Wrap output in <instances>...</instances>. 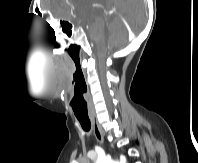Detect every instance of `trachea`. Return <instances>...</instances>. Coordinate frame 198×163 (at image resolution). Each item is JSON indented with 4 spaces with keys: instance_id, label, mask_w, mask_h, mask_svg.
<instances>
[{
    "instance_id": "trachea-1",
    "label": "trachea",
    "mask_w": 198,
    "mask_h": 163,
    "mask_svg": "<svg viewBox=\"0 0 198 163\" xmlns=\"http://www.w3.org/2000/svg\"><path fill=\"white\" fill-rule=\"evenodd\" d=\"M82 105H84V101L83 100L80 101V105L79 106H82ZM77 119L79 120V122H80V124H81V126H82L84 131H87V132L90 131L91 123H90V120H89L88 117H79V116H77Z\"/></svg>"
}]
</instances>
